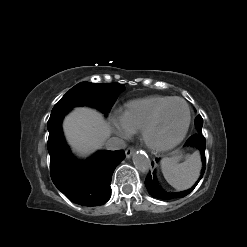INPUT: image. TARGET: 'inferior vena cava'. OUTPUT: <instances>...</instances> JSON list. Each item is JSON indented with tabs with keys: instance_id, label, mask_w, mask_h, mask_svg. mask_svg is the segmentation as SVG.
<instances>
[{
	"instance_id": "1",
	"label": "inferior vena cava",
	"mask_w": 247,
	"mask_h": 247,
	"mask_svg": "<svg viewBox=\"0 0 247 247\" xmlns=\"http://www.w3.org/2000/svg\"><path fill=\"white\" fill-rule=\"evenodd\" d=\"M125 147H126V143L124 142V140L118 137H112L106 143L107 150H119V149H124Z\"/></svg>"
}]
</instances>
